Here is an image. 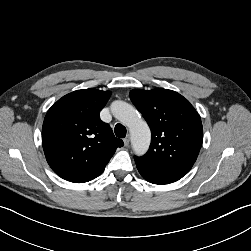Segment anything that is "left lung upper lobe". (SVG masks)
Wrapping results in <instances>:
<instances>
[{"instance_id":"5c2ea615","label":"left lung upper lobe","mask_w":251,"mask_h":251,"mask_svg":"<svg viewBox=\"0 0 251 251\" xmlns=\"http://www.w3.org/2000/svg\"><path fill=\"white\" fill-rule=\"evenodd\" d=\"M130 99L152 133L148 152L135 156V162L188 173L203 141L202 122L194 107L179 93L163 88L131 90Z\"/></svg>"}]
</instances>
